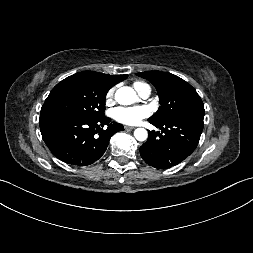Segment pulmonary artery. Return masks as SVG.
<instances>
[{"instance_id": "pulmonary-artery-1", "label": "pulmonary artery", "mask_w": 253, "mask_h": 253, "mask_svg": "<svg viewBox=\"0 0 253 253\" xmlns=\"http://www.w3.org/2000/svg\"><path fill=\"white\" fill-rule=\"evenodd\" d=\"M151 90L150 89H144L142 92L139 93V95L142 98H147L150 95Z\"/></svg>"}]
</instances>
